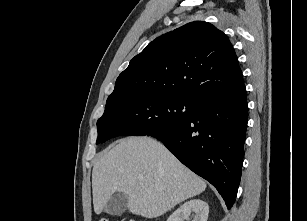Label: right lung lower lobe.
Masks as SVG:
<instances>
[{
  "label": "right lung lower lobe",
  "instance_id": "obj_1",
  "mask_svg": "<svg viewBox=\"0 0 307 221\" xmlns=\"http://www.w3.org/2000/svg\"><path fill=\"white\" fill-rule=\"evenodd\" d=\"M248 122L246 88L197 103L190 118L152 134L193 172L209 181L228 209L241 179Z\"/></svg>",
  "mask_w": 307,
  "mask_h": 221
}]
</instances>
